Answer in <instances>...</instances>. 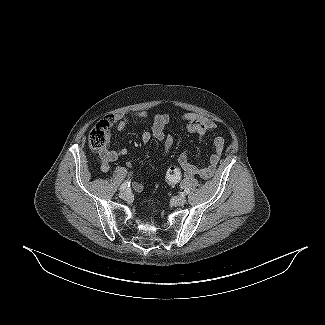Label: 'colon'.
Masks as SVG:
<instances>
[{
	"instance_id": "5ec220e1",
	"label": "colon",
	"mask_w": 325,
	"mask_h": 325,
	"mask_svg": "<svg viewBox=\"0 0 325 325\" xmlns=\"http://www.w3.org/2000/svg\"><path fill=\"white\" fill-rule=\"evenodd\" d=\"M112 121L103 119L91 130L88 143L95 151L103 150L111 138ZM181 179V170L177 166H171L166 170L165 180L168 184H176Z\"/></svg>"
}]
</instances>
